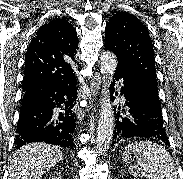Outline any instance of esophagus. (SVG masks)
<instances>
[{
	"instance_id": "obj_1",
	"label": "esophagus",
	"mask_w": 183,
	"mask_h": 179,
	"mask_svg": "<svg viewBox=\"0 0 183 179\" xmlns=\"http://www.w3.org/2000/svg\"><path fill=\"white\" fill-rule=\"evenodd\" d=\"M100 85H101V76H100V74H97L95 76V80L92 85L94 95H96L98 93ZM81 115H82V113H78V117H80Z\"/></svg>"
}]
</instances>
